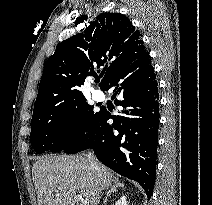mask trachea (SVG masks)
I'll return each mask as SVG.
<instances>
[{"instance_id":"obj_1","label":"trachea","mask_w":212,"mask_h":205,"mask_svg":"<svg viewBox=\"0 0 212 205\" xmlns=\"http://www.w3.org/2000/svg\"><path fill=\"white\" fill-rule=\"evenodd\" d=\"M96 82H99L100 81V79H99V77L98 78H96V80H95Z\"/></svg>"}]
</instances>
